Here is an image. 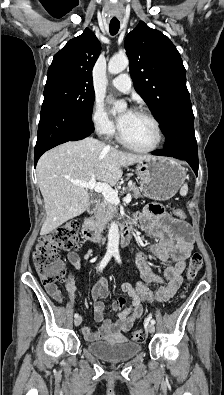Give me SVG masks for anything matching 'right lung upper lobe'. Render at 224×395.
Wrapping results in <instances>:
<instances>
[{
	"label": "right lung upper lobe",
	"instance_id": "1",
	"mask_svg": "<svg viewBox=\"0 0 224 395\" xmlns=\"http://www.w3.org/2000/svg\"><path fill=\"white\" fill-rule=\"evenodd\" d=\"M100 50L95 34L86 28L55 54L47 77L63 76L93 86L92 69Z\"/></svg>",
	"mask_w": 224,
	"mask_h": 395
}]
</instances>
